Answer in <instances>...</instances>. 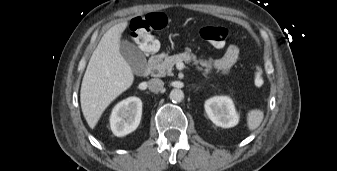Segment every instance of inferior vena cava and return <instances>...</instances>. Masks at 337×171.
Segmentation results:
<instances>
[{"label": "inferior vena cava", "mask_w": 337, "mask_h": 171, "mask_svg": "<svg viewBox=\"0 0 337 171\" xmlns=\"http://www.w3.org/2000/svg\"><path fill=\"white\" fill-rule=\"evenodd\" d=\"M164 82L161 79L154 78L148 81V88L151 92H159L163 89Z\"/></svg>", "instance_id": "602c4592"}]
</instances>
